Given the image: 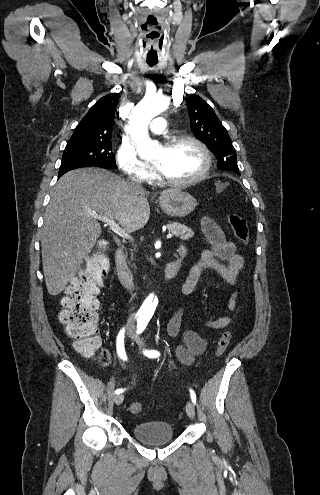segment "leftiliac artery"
Segmentation results:
<instances>
[{
	"label": "left iliac artery",
	"mask_w": 320,
	"mask_h": 495,
	"mask_svg": "<svg viewBox=\"0 0 320 495\" xmlns=\"http://www.w3.org/2000/svg\"><path fill=\"white\" fill-rule=\"evenodd\" d=\"M149 320L148 319H140L138 321V326H137V333H142L147 324H148ZM144 354L149 357V358H157L160 356V353L157 351V350H145L144 351ZM190 391V396H191V400L194 404H196V395H195V392L192 390V389H189Z\"/></svg>",
	"instance_id": "obj_1"
}]
</instances>
